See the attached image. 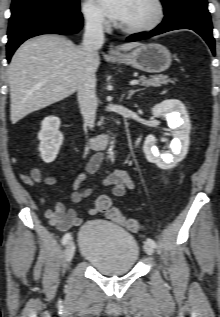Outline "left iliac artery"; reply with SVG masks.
<instances>
[{
	"label": "left iliac artery",
	"instance_id": "1",
	"mask_svg": "<svg viewBox=\"0 0 220 317\" xmlns=\"http://www.w3.org/2000/svg\"><path fill=\"white\" fill-rule=\"evenodd\" d=\"M146 242L149 243L152 247H156V243L153 239L147 238Z\"/></svg>",
	"mask_w": 220,
	"mask_h": 317
}]
</instances>
